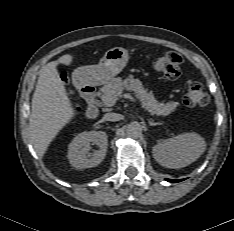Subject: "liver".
<instances>
[{"instance_id":"1","label":"liver","mask_w":234,"mask_h":231,"mask_svg":"<svg viewBox=\"0 0 234 231\" xmlns=\"http://www.w3.org/2000/svg\"><path fill=\"white\" fill-rule=\"evenodd\" d=\"M72 61L73 56L66 54L40 70L29 117L31 143L40 157L44 156L57 134L76 116L57 71L58 64L70 65Z\"/></svg>"}]
</instances>
